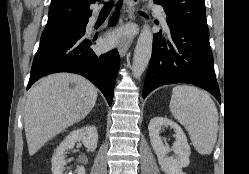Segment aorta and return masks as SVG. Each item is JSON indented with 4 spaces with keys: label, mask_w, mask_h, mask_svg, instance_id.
Listing matches in <instances>:
<instances>
[{
    "label": "aorta",
    "mask_w": 249,
    "mask_h": 174,
    "mask_svg": "<svg viewBox=\"0 0 249 174\" xmlns=\"http://www.w3.org/2000/svg\"><path fill=\"white\" fill-rule=\"evenodd\" d=\"M153 34L150 26L145 24L138 37L134 50L132 71L135 77H140L148 66L152 54Z\"/></svg>",
    "instance_id": "762f6f07"
}]
</instances>
